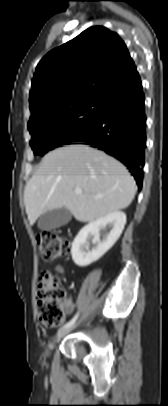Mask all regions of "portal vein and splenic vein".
<instances>
[{
  "mask_svg": "<svg viewBox=\"0 0 168 406\" xmlns=\"http://www.w3.org/2000/svg\"><path fill=\"white\" fill-rule=\"evenodd\" d=\"M74 192H75L76 194H81V193H82V190H81L80 188H75Z\"/></svg>",
  "mask_w": 168,
  "mask_h": 406,
  "instance_id": "1",
  "label": "portal vein and splenic vein"
}]
</instances>
